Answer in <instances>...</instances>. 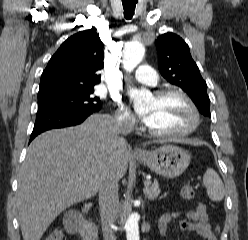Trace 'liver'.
<instances>
[{
  "mask_svg": "<svg viewBox=\"0 0 248 240\" xmlns=\"http://www.w3.org/2000/svg\"><path fill=\"white\" fill-rule=\"evenodd\" d=\"M113 127L110 116L95 114L79 126L47 131L32 141L18 180L24 240H40L62 211L94 196L106 173L125 175L128 145L114 136Z\"/></svg>",
  "mask_w": 248,
  "mask_h": 240,
  "instance_id": "liver-1",
  "label": "liver"
}]
</instances>
